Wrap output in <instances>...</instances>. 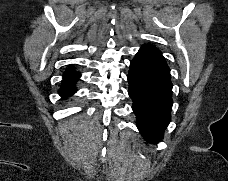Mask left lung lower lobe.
Listing matches in <instances>:
<instances>
[{"instance_id":"1","label":"left lung lower lobe","mask_w":228,"mask_h":181,"mask_svg":"<svg viewBox=\"0 0 228 181\" xmlns=\"http://www.w3.org/2000/svg\"><path fill=\"white\" fill-rule=\"evenodd\" d=\"M128 82L139 132L154 144L163 138L173 104L170 69L156 47H141L131 61Z\"/></svg>"}]
</instances>
